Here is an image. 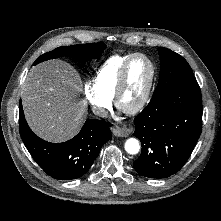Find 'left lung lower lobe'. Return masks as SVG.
Listing matches in <instances>:
<instances>
[{
  "mask_svg": "<svg viewBox=\"0 0 221 221\" xmlns=\"http://www.w3.org/2000/svg\"><path fill=\"white\" fill-rule=\"evenodd\" d=\"M142 144L134 169L142 176L167 178L189 159L202 131V97L196 80L170 88L152 97L134 118Z\"/></svg>",
  "mask_w": 221,
  "mask_h": 221,
  "instance_id": "left-lung-lower-lobe-1",
  "label": "left lung lower lobe"
}]
</instances>
